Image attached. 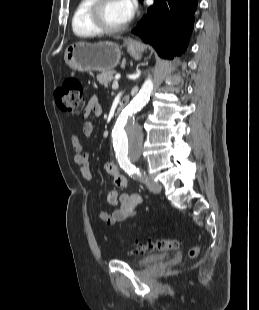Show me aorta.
<instances>
[{
	"mask_svg": "<svg viewBox=\"0 0 259 310\" xmlns=\"http://www.w3.org/2000/svg\"><path fill=\"white\" fill-rule=\"evenodd\" d=\"M153 82L146 79L139 93L122 110L113 132V147L117 156L136 160L142 153L143 133L135 122V114L148 102Z\"/></svg>",
	"mask_w": 259,
	"mask_h": 310,
	"instance_id": "762f6f07",
	"label": "aorta"
}]
</instances>
